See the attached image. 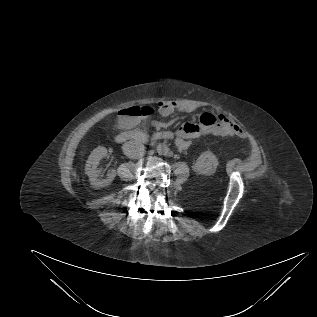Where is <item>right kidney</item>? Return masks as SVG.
<instances>
[{
    "mask_svg": "<svg viewBox=\"0 0 317 317\" xmlns=\"http://www.w3.org/2000/svg\"><path fill=\"white\" fill-rule=\"evenodd\" d=\"M107 155V149L105 147L99 146L95 148L88 157L85 166V173L89 177L91 185L95 188L106 187L111 184L116 176V171L111 170L107 177L103 178V175H100L97 166L99 161Z\"/></svg>",
    "mask_w": 317,
    "mask_h": 317,
    "instance_id": "obj_1",
    "label": "right kidney"
}]
</instances>
